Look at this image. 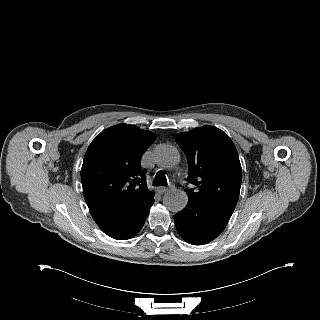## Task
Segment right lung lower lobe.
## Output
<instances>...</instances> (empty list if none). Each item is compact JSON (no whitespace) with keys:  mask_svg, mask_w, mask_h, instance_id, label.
I'll use <instances>...</instances> for the list:
<instances>
[{"mask_svg":"<svg viewBox=\"0 0 320 320\" xmlns=\"http://www.w3.org/2000/svg\"><path fill=\"white\" fill-rule=\"evenodd\" d=\"M154 199L144 207L119 216L113 220L98 223V226L110 237L117 240H126L135 236L142 226L150 211Z\"/></svg>","mask_w":320,"mask_h":320,"instance_id":"obj_1","label":"right lung lower lobe"}]
</instances>
